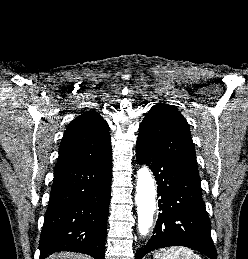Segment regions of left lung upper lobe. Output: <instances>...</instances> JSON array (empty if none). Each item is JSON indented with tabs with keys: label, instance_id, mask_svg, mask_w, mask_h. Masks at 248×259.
<instances>
[{
	"label": "left lung upper lobe",
	"instance_id": "1",
	"mask_svg": "<svg viewBox=\"0 0 248 259\" xmlns=\"http://www.w3.org/2000/svg\"><path fill=\"white\" fill-rule=\"evenodd\" d=\"M137 142L200 180L189 125L174 106L159 103L153 106L139 126Z\"/></svg>",
	"mask_w": 248,
	"mask_h": 259
}]
</instances>
